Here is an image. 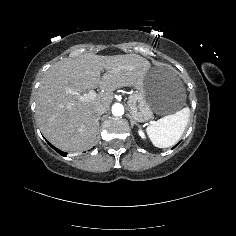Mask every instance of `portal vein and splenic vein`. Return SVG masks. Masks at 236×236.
Returning <instances> with one entry per match:
<instances>
[{
	"label": "portal vein and splenic vein",
	"instance_id": "1",
	"mask_svg": "<svg viewBox=\"0 0 236 236\" xmlns=\"http://www.w3.org/2000/svg\"><path fill=\"white\" fill-rule=\"evenodd\" d=\"M66 92L76 98L77 102L89 101L97 96L96 91H89L88 93L81 94L72 89H66Z\"/></svg>",
	"mask_w": 236,
	"mask_h": 236
}]
</instances>
